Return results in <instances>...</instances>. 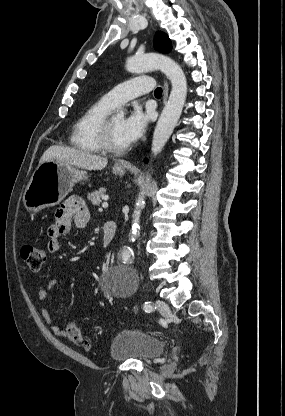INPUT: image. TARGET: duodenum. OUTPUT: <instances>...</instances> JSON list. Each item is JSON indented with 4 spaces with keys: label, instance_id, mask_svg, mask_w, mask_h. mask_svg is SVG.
Masks as SVG:
<instances>
[{
    "label": "duodenum",
    "instance_id": "duodenum-1",
    "mask_svg": "<svg viewBox=\"0 0 285 416\" xmlns=\"http://www.w3.org/2000/svg\"><path fill=\"white\" fill-rule=\"evenodd\" d=\"M117 231V225L114 221H106L103 224V247L108 248L111 246L112 241Z\"/></svg>",
    "mask_w": 285,
    "mask_h": 416
}]
</instances>
